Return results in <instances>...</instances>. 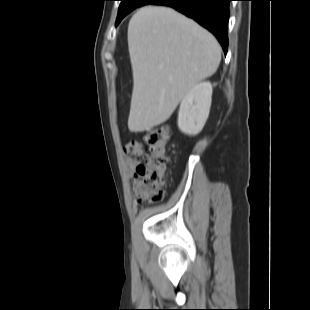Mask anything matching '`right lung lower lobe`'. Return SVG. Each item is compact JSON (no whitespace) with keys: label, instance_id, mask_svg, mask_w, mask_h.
I'll list each match as a JSON object with an SVG mask.
<instances>
[{"label":"right lung lower lobe","instance_id":"obj_1","mask_svg":"<svg viewBox=\"0 0 310 310\" xmlns=\"http://www.w3.org/2000/svg\"><path fill=\"white\" fill-rule=\"evenodd\" d=\"M230 1L232 0H153L150 4L172 7L194 19L215 35L226 54Z\"/></svg>","mask_w":310,"mask_h":310}]
</instances>
